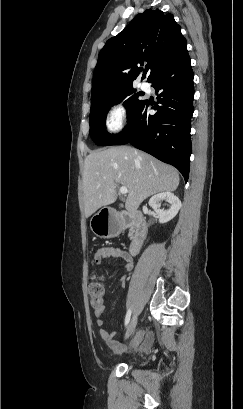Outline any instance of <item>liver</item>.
<instances>
[{
  "mask_svg": "<svg viewBox=\"0 0 243 409\" xmlns=\"http://www.w3.org/2000/svg\"><path fill=\"white\" fill-rule=\"evenodd\" d=\"M179 181L174 167L130 146L91 152L85 159L83 172L85 216L90 217L99 208L114 203L119 184L129 191L125 208L133 214L146 198L175 191Z\"/></svg>",
  "mask_w": 243,
  "mask_h": 409,
  "instance_id": "obj_1",
  "label": "liver"
}]
</instances>
